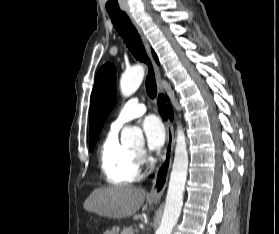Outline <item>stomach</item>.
Listing matches in <instances>:
<instances>
[{
    "mask_svg": "<svg viewBox=\"0 0 279 234\" xmlns=\"http://www.w3.org/2000/svg\"><path fill=\"white\" fill-rule=\"evenodd\" d=\"M154 202H155V201H154ZM104 234H118V232H117V231H110V230H107V231H105Z\"/></svg>",
    "mask_w": 279,
    "mask_h": 234,
    "instance_id": "stomach-1",
    "label": "stomach"
}]
</instances>
